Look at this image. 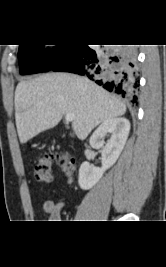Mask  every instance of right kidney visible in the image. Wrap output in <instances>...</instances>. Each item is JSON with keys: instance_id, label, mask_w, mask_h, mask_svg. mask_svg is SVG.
Wrapping results in <instances>:
<instances>
[{"instance_id": "obj_1", "label": "right kidney", "mask_w": 166, "mask_h": 267, "mask_svg": "<svg viewBox=\"0 0 166 267\" xmlns=\"http://www.w3.org/2000/svg\"><path fill=\"white\" fill-rule=\"evenodd\" d=\"M130 131V122L124 117H116L104 121L90 137V145L93 148L102 149L101 168L83 162L79 168L78 183L81 189L92 188L119 158ZM111 134L105 143L104 137Z\"/></svg>"}]
</instances>
